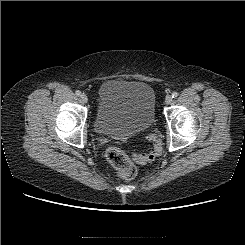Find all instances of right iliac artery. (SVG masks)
<instances>
[{
    "label": "right iliac artery",
    "mask_w": 245,
    "mask_h": 245,
    "mask_svg": "<svg viewBox=\"0 0 245 245\" xmlns=\"http://www.w3.org/2000/svg\"><path fill=\"white\" fill-rule=\"evenodd\" d=\"M76 95L77 96H80L81 95V92L79 90L76 91Z\"/></svg>",
    "instance_id": "82829eb1"
}]
</instances>
